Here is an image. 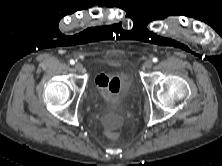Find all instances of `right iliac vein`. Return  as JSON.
<instances>
[{
	"mask_svg": "<svg viewBox=\"0 0 222 166\" xmlns=\"http://www.w3.org/2000/svg\"><path fill=\"white\" fill-rule=\"evenodd\" d=\"M74 67H75V70L78 72H81L83 70V66L80 63H76Z\"/></svg>",
	"mask_w": 222,
	"mask_h": 166,
	"instance_id": "right-iliac-vein-1",
	"label": "right iliac vein"
}]
</instances>
